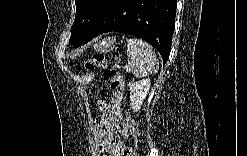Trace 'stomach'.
I'll return each mask as SVG.
<instances>
[{"instance_id":"stomach-1","label":"stomach","mask_w":247,"mask_h":156,"mask_svg":"<svg viewBox=\"0 0 247 156\" xmlns=\"http://www.w3.org/2000/svg\"><path fill=\"white\" fill-rule=\"evenodd\" d=\"M116 45V37H108L94 45V49L101 52L112 50Z\"/></svg>"}]
</instances>
